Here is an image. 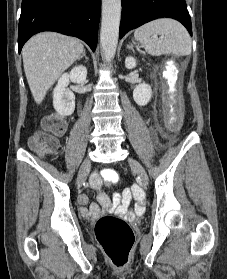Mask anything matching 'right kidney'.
Masks as SVG:
<instances>
[{
    "mask_svg": "<svg viewBox=\"0 0 227 279\" xmlns=\"http://www.w3.org/2000/svg\"><path fill=\"white\" fill-rule=\"evenodd\" d=\"M87 69L83 65L75 66L69 73H64L58 80L53 90L54 109L63 116H69L75 109V96L67 86L70 81L74 83H83L86 80Z\"/></svg>",
    "mask_w": 227,
    "mask_h": 279,
    "instance_id": "ca27d5eb",
    "label": "right kidney"
}]
</instances>
